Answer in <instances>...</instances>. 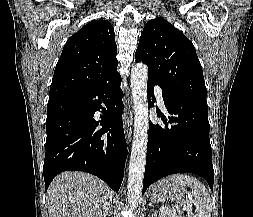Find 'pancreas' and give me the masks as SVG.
Returning <instances> with one entry per match:
<instances>
[{
	"label": "pancreas",
	"mask_w": 253,
	"mask_h": 217,
	"mask_svg": "<svg viewBox=\"0 0 253 217\" xmlns=\"http://www.w3.org/2000/svg\"><path fill=\"white\" fill-rule=\"evenodd\" d=\"M160 217H174V216H173L172 212L166 213L164 211H161Z\"/></svg>",
	"instance_id": "cf45deb5"
}]
</instances>
